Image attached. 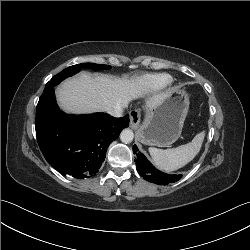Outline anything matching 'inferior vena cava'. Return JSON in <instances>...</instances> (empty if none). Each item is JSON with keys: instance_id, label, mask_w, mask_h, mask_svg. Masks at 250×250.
<instances>
[{"instance_id": "602c4592", "label": "inferior vena cava", "mask_w": 250, "mask_h": 250, "mask_svg": "<svg viewBox=\"0 0 250 250\" xmlns=\"http://www.w3.org/2000/svg\"><path fill=\"white\" fill-rule=\"evenodd\" d=\"M124 107H117L115 109L109 110L108 113L113 117L123 116Z\"/></svg>"}]
</instances>
